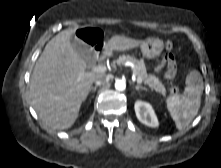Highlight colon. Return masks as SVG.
Here are the masks:
<instances>
[{
  "mask_svg": "<svg viewBox=\"0 0 221 168\" xmlns=\"http://www.w3.org/2000/svg\"><path fill=\"white\" fill-rule=\"evenodd\" d=\"M99 37V31L98 30H95V29H88V30H85L83 33H82V38L87 41V42H95ZM165 48L167 51H171L172 48H173V44L171 41H167L165 43ZM170 90L172 92V96H176L179 94L180 90H179V84L177 82H172L170 84Z\"/></svg>",
  "mask_w": 221,
  "mask_h": 168,
  "instance_id": "obj_1",
  "label": "colon"
}]
</instances>
